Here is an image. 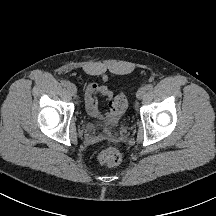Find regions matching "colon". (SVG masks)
I'll return each instance as SVG.
<instances>
[{
  "mask_svg": "<svg viewBox=\"0 0 216 216\" xmlns=\"http://www.w3.org/2000/svg\"><path fill=\"white\" fill-rule=\"evenodd\" d=\"M127 107V99L123 94L118 95L112 103L111 110L116 116L124 113ZM121 161V154L115 147H107L98 155V162L107 167L115 166Z\"/></svg>",
  "mask_w": 216,
  "mask_h": 216,
  "instance_id": "obj_1",
  "label": "colon"
}]
</instances>
